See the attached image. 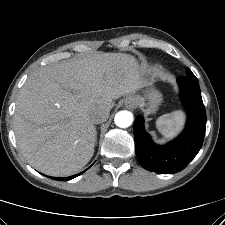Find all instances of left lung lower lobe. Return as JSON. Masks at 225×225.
<instances>
[{
  "instance_id": "1",
  "label": "left lung lower lobe",
  "mask_w": 225,
  "mask_h": 225,
  "mask_svg": "<svg viewBox=\"0 0 225 225\" xmlns=\"http://www.w3.org/2000/svg\"><path fill=\"white\" fill-rule=\"evenodd\" d=\"M181 100L188 112L184 131L166 145L155 144L144 130V120L134 122L135 151L139 163L145 169L163 174L183 170L199 152L206 130V112L195 76L177 78Z\"/></svg>"
}]
</instances>
